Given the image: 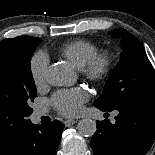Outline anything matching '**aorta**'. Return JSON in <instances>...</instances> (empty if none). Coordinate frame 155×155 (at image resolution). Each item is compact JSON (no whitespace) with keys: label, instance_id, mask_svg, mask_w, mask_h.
Returning a JSON list of instances; mask_svg holds the SVG:
<instances>
[{"label":"aorta","instance_id":"aorta-1","mask_svg":"<svg viewBox=\"0 0 155 155\" xmlns=\"http://www.w3.org/2000/svg\"><path fill=\"white\" fill-rule=\"evenodd\" d=\"M46 80L52 86H64L73 81V71L66 63H55L47 69ZM77 130L82 136L91 137L96 132V123L84 118L78 122Z\"/></svg>","mask_w":155,"mask_h":155}]
</instances>
